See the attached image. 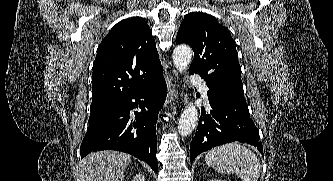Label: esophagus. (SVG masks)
Wrapping results in <instances>:
<instances>
[{
  "label": "esophagus",
  "mask_w": 333,
  "mask_h": 181,
  "mask_svg": "<svg viewBox=\"0 0 333 181\" xmlns=\"http://www.w3.org/2000/svg\"><path fill=\"white\" fill-rule=\"evenodd\" d=\"M166 83L168 86V95L166 103L171 104L178 97V89L176 87V81L170 74L166 75Z\"/></svg>",
  "instance_id": "esophagus-1"
}]
</instances>
